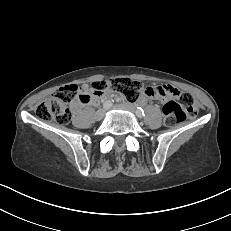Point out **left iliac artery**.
<instances>
[{
  "label": "left iliac artery",
  "instance_id": "left-iliac-artery-1",
  "mask_svg": "<svg viewBox=\"0 0 231 231\" xmlns=\"http://www.w3.org/2000/svg\"><path fill=\"white\" fill-rule=\"evenodd\" d=\"M136 114L138 117H144L145 116V112L141 107H137Z\"/></svg>",
  "mask_w": 231,
  "mask_h": 231
}]
</instances>
